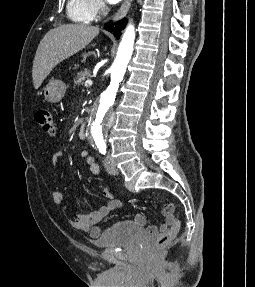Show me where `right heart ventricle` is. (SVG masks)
<instances>
[{"label": "right heart ventricle", "mask_w": 255, "mask_h": 287, "mask_svg": "<svg viewBox=\"0 0 255 287\" xmlns=\"http://www.w3.org/2000/svg\"><path fill=\"white\" fill-rule=\"evenodd\" d=\"M85 33H101V32H85ZM86 39H94V38H86ZM104 48H120V47H104Z\"/></svg>", "instance_id": "obj_1"}]
</instances>
